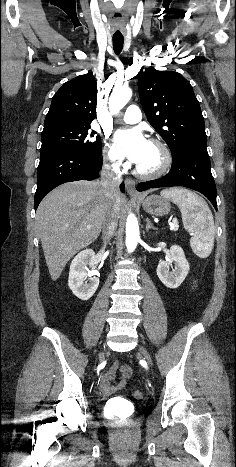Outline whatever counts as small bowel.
<instances>
[{
	"mask_svg": "<svg viewBox=\"0 0 236 467\" xmlns=\"http://www.w3.org/2000/svg\"><path fill=\"white\" fill-rule=\"evenodd\" d=\"M117 371H120L121 379L118 383L112 384L114 376ZM132 375V368L129 365L121 364L119 361H115L110 367L109 371L104 374L100 379V390L105 395H110L114 392L122 390L127 383V380Z\"/></svg>",
	"mask_w": 236,
	"mask_h": 467,
	"instance_id": "1",
	"label": "small bowel"
}]
</instances>
